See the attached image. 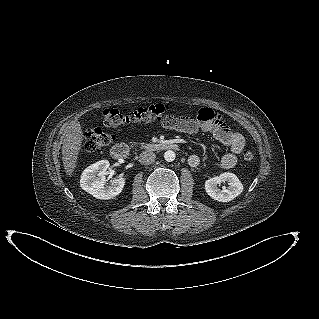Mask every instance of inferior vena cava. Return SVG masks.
<instances>
[{
  "mask_svg": "<svg viewBox=\"0 0 319 319\" xmlns=\"http://www.w3.org/2000/svg\"><path fill=\"white\" fill-rule=\"evenodd\" d=\"M156 155L152 151H143L140 153L139 162L144 165H149L155 161Z\"/></svg>",
  "mask_w": 319,
  "mask_h": 319,
  "instance_id": "1",
  "label": "inferior vena cava"
}]
</instances>
